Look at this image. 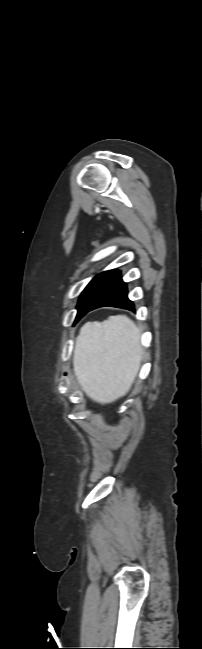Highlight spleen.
<instances>
[{"label":"spleen","instance_id":"1","mask_svg":"<svg viewBox=\"0 0 202 649\" xmlns=\"http://www.w3.org/2000/svg\"><path fill=\"white\" fill-rule=\"evenodd\" d=\"M142 359L140 332L126 316H110L82 327L73 367L82 389L94 401L109 403L125 395Z\"/></svg>","mask_w":202,"mask_h":649}]
</instances>
